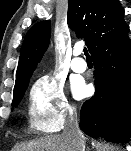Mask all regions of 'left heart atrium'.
<instances>
[{
    "mask_svg": "<svg viewBox=\"0 0 131 151\" xmlns=\"http://www.w3.org/2000/svg\"><path fill=\"white\" fill-rule=\"evenodd\" d=\"M72 88L77 98L84 97L87 94V87L83 83H75Z\"/></svg>",
    "mask_w": 131,
    "mask_h": 151,
    "instance_id": "1",
    "label": "left heart atrium"
}]
</instances>
